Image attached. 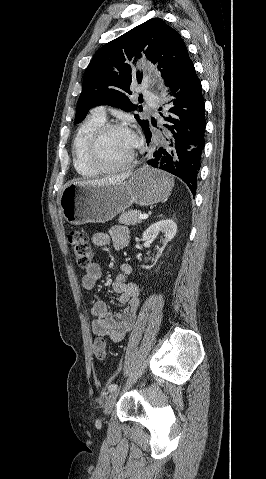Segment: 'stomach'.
<instances>
[{
    "instance_id": "0dacf381",
    "label": "stomach",
    "mask_w": 266,
    "mask_h": 479,
    "mask_svg": "<svg viewBox=\"0 0 266 479\" xmlns=\"http://www.w3.org/2000/svg\"><path fill=\"white\" fill-rule=\"evenodd\" d=\"M173 179L163 171L143 167L128 181L106 185L66 186L60 196L65 220L73 225L105 223L132 204L153 205L171 192Z\"/></svg>"
}]
</instances>
